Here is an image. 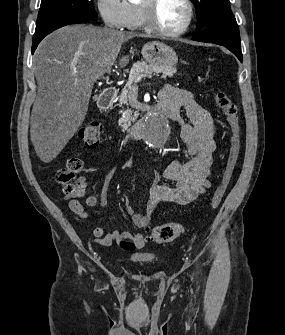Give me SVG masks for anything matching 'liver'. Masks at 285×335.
<instances>
[{
    "label": "liver",
    "mask_w": 285,
    "mask_h": 335,
    "mask_svg": "<svg viewBox=\"0 0 285 335\" xmlns=\"http://www.w3.org/2000/svg\"><path fill=\"white\" fill-rule=\"evenodd\" d=\"M146 34L75 24L52 32L34 56L39 86L30 122L34 150L45 164L54 160L85 120L96 80L111 70L124 42ZM121 68L129 56L119 60Z\"/></svg>",
    "instance_id": "obj_1"
}]
</instances>
